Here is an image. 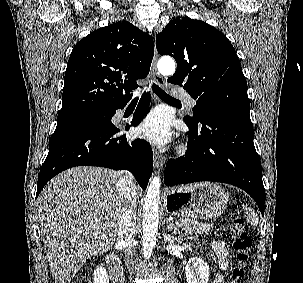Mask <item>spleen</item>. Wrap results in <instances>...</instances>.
I'll use <instances>...</instances> for the list:
<instances>
[{
	"mask_svg": "<svg viewBox=\"0 0 303 283\" xmlns=\"http://www.w3.org/2000/svg\"><path fill=\"white\" fill-rule=\"evenodd\" d=\"M245 218L247 222L253 226H256L259 222L258 214L253 208H246Z\"/></svg>",
	"mask_w": 303,
	"mask_h": 283,
	"instance_id": "obj_1",
	"label": "spleen"
}]
</instances>
